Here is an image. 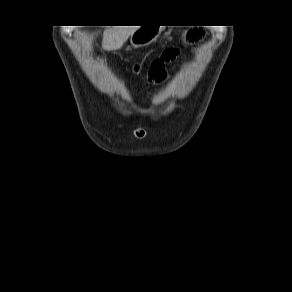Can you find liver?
Here are the masks:
<instances>
[{
	"label": "liver",
	"mask_w": 292,
	"mask_h": 292,
	"mask_svg": "<svg viewBox=\"0 0 292 292\" xmlns=\"http://www.w3.org/2000/svg\"><path fill=\"white\" fill-rule=\"evenodd\" d=\"M138 27H119L107 31L103 39V48L105 50H114L120 48L123 43L131 36Z\"/></svg>",
	"instance_id": "6515ba94"
}]
</instances>
